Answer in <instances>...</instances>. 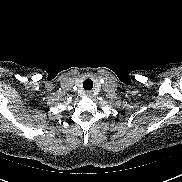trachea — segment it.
Segmentation results:
<instances>
[{"label":"trachea","instance_id":"trachea-1","mask_svg":"<svg viewBox=\"0 0 182 182\" xmlns=\"http://www.w3.org/2000/svg\"><path fill=\"white\" fill-rule=\"evenodd\" d=\"M83 88L85 90H91L93 88V81L89 78L85 79L83 82Z\"/></svg>","mask_w":182,"mask_h":182}]
</instances>
